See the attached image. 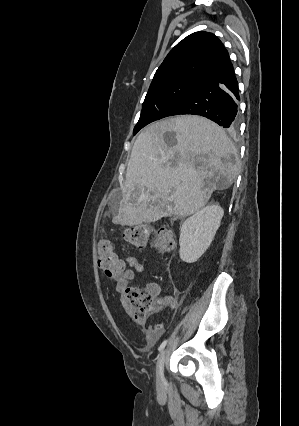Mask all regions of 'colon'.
Returning a JSON list of instances; mask_svg holds the SVG:
<instances>
[{
	"label": "colon",
	"mask_w": 299,
	"mask_h": 426,
	"mask_svg": "<svg viewBox=\"0 0 299 426\" xmlns=\"http://www.w3.org/2000/svg\"><path fill=\"white\" fill-rule=\"evenodd\" d=\"M150 229L145 226L127 228L122 232V239L136 249H143L148 242ZM153 246L159 254H170L175 251L176 240L172 231L168 228H159L155 232ZM99 266L108 277L120 274L124 270V264L116 255L112 242L106 238H100L97 243ZM127 298L133 311L136 322L142 324L145 317L158 311L166 305V300L157 299L151 290L127 289Z\"/></svg>",
	"instance_id": "obj_1"
}]
</instances>
